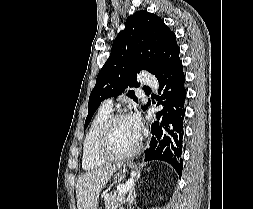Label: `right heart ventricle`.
I'll use <instances>...</instances> for the list:
<instances>
[{"instance_id":"1","label":"right heart ventricle","mask_w":253,"mask_h":209,"mask_svg":"<svg viewBox=\"0 0 253 209\" xmlns=\"http://www.w3.org/2000/svg\"><path fill=\"white\" fill-rule=\"evenodd\" d=\"M110 115L111 107L103 104L97 111L87 130L82 150V166L86 170L99 168L105 162L95 155V143L101 126Z\"/></svg>"}]
</instances>
